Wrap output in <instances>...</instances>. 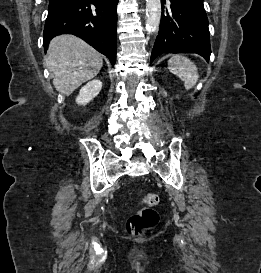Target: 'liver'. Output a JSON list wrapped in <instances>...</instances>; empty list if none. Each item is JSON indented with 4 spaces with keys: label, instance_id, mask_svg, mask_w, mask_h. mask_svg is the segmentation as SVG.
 I'll return each mask as SVG.
<instances>
[{
    "label": "liver",
    "instance_id": "liver-1",
    "mask_svg": "<svg viewBox=\"0 0 261 273\" xmlns=\"http://www.w3.org/2000/svg\"><path fill=\"white\" fill-rule=\"evenodd\" d=\"M44 65L53 73L55 89L69 96L82 83L94 78L103 65L102 55L73 35L51 40Z\"/></svg>",
    "mask_w": 261,
    "mask_h": 273
}]
</instances>
